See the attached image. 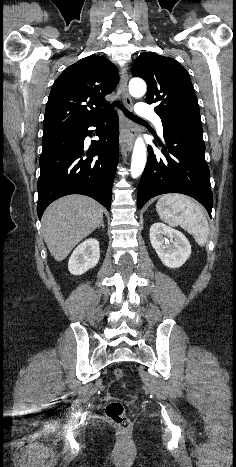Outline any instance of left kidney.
Returning a JSON list of instances; mask_svg holds the SVG:
<instances>
[{
  "instance_id": "obj_1",
  "label": "left kidney",
  "mask_w": 236,
  "mask_h": 467,
  "mask_svg": "<svg viewBox=\"0 0 236 467\" xmlns=\"http://www.w3.org/2000/svg\"><path fill=\"white\" fill-rule=\"evenodd\" d=\"M150 242L161 262L169 268L181 267L191 255V245L178 230L163 223L150 228Z\"/></svg>"
}]
</instances>
